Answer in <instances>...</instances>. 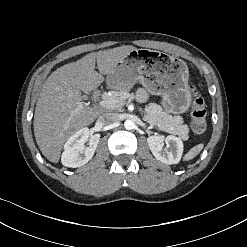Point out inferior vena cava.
Returning a JSON list of instances; mask_svg holds the SVG:
<instances>
[{
    "instance_id": "602c4592",
    "label": "inferior vena cava",
    "mask_w": 247,
    "mask_h": 247,
    "mask_svg": "<svg viewBox=\"0 0 247 247\" xmlns=\"http://www.w3.org/2000/svg\"><path fill=\"white\" fill-rule=\"evenodd\" d=\"M98 121L103 126H109L119 121L118 115L114 113H105L98 118Z\"/></svg>"
}]
</instances>
